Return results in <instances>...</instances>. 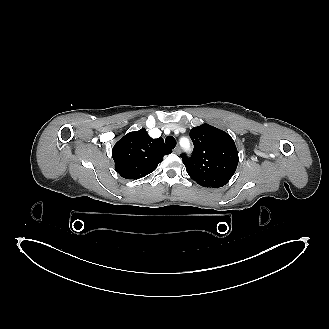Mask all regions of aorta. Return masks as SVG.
<instances>
[{
    "mask_svg": "<svg viewBox=\"0 0 329 329\" xmlns=\"http://www.w3.org/2000/svg\"><path fill=\"white\" fill-rule=\"evenodd\" d=\"M184 143H186L185 146H189V142H188V140L185 139V138H182V139L180 140V144H184Z\"/></svg>",
    "mask_w": 329,
    "mask_h": 329,
    "instance_id": "obj_1",
    "label": "aorta"
}]
</instances>
